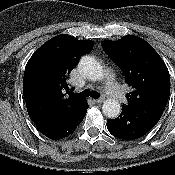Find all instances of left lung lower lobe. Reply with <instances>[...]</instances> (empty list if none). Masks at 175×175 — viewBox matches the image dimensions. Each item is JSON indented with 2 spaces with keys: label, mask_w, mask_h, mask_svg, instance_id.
Wrapping results in <instances>:
<instances>
[{
  "label": "left lung lower lobe",
  "mask_w": 175,
  "mask_h": 175,
  "mask_svg": "<svg viewBox=\"0 0 175 175\" xmlns=\"http://www.w3.org/2000/svg\"><path fill=\"white\" fill-rule=\"evenodd\" d=\"M164 109L165 107L157 105L143 106L132 110L122 109L117 118L107 120V129L119 139H137L157 124Z\"/></svg>",
  "instance_id": "left-lung-lower-lobe-1"
}]
</instances>
